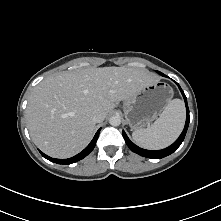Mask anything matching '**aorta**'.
<instances>
[{"label": "aorta", "mask_w": 221, "mask_h": 221, "mask_svg": "<svg viewBox=\"0 0 221 221\" xmlns=\"http://www.w3.org/2000/svg\"><path fill=\"white\" fill-rule=\"evenodd\" d=\"M109 123L112 126H119L121 124V118L118 115L111 116L109 119Z\"/></svg>", "instance_id": "762f6f07"}]
</instances>
